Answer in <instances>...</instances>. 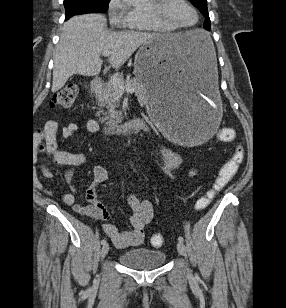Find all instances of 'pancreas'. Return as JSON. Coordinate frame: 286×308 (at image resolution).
<instances>
[{"label":"pancreas","instance_id":"cf45deb5","mask_svg":"<svg viewBox=\"0 0 286 308\" xmlns=\"http://www.w3.org/2000/svg\"><path fill=\"white\" fill-rule=\"evenodd\" d=\"M119 80L124 84L132 87L135 90V95L138 97L139 101L143 104H146L147 101V90L146 87L137 79L133 80H123V78L119 77ZM118 93L114 87L113 81L110 80L106 84H104L97 92L96 98L98 100L99 106H106L108 109V115L101 119L102 122L106 121L107 124H115L119 120V113L115 112L112 114V107L115 105ZM100 115V112L97 113Z\"/></svg>","mask_w":286,"mask_h":308}]
</instances>
